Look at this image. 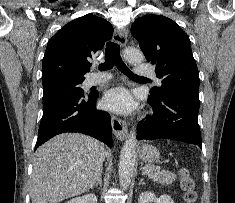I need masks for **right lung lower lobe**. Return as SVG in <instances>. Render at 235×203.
Instances as JSON below:
<instances>
[{"label": "right lung lower lobe", "mask_w": 235, "mask_h": 203, "mask_svg": "<svg viewBox=\"0 0 235 203\" xmlns=\"http://www.w3.org/2000/svg\"><path fill=\"white\" fill-rule=\"evenodd\" d=\"M97 97L98 93L71 94L43 104L35 149L64 132L83 133L112 147L111 118L107 112L96 109Z\"/></svg>", "instance_id": "98d812e1"}]
</instances>
